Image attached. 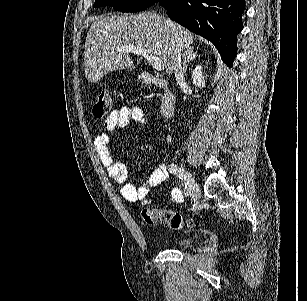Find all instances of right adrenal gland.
<instances>
[{
    "mask_svg": "<svg viewBox=\"0 0 307 301\" xmlns=\"http://www.w3.org/2000/svg\"><path fill=\"white\" fill-rule=\"evenodd\" d=\"M195 56H198V52H194L193 46H190V48H186L184 52V60L182 64V70L184 74L187 72V62H190V60H193Z\"/></svg>",
    "mask_w": 307,
    "mask_h": 301,
    "instance_id": "right-adrenal-gland-1",
    "label": "right adrenal gland"
}]
</instances>
